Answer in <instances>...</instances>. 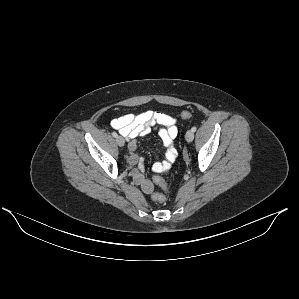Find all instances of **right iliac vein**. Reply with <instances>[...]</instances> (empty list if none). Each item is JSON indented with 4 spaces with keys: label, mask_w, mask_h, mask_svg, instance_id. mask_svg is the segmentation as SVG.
I'll list each match as a JSON object with an SVG mask.
<instances>
[{
    "label": "right iliac vein",
    "mask_w": 299,
    "mask_h": 299,
    "mask_svg": "<svg viewBox=\"0 0 299 299\" xmlns=\"http://www.w3.org/2000/svg\"><path fill=\"white\" fill-rule=\"evenodd\" d=\"M116 141H117V144L120 146V147H123L125 145V140L122 136H117L116 137Z\"/></svg>",
    "instance_id": "63e3f726"
}]
</instances>
